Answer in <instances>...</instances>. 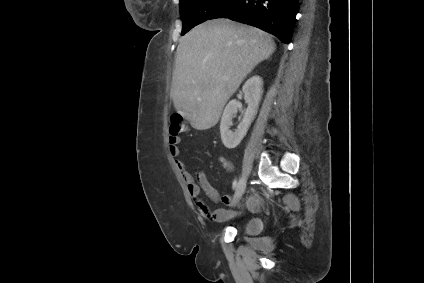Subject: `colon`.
Returning a JSON list of instances; mask_svg holds the SVG:
<instances>
[{
	"instance_id": "5ec220e1",
	"label": "colon",
	"mask_w": 424,
	"mask_h": 283,
	"mask_svg": "<svg viewBox=\"0 0 424 283\" xmlns=\"http://www.w3.org/2000/svg\"><path fill=\"white\" fill-rule=\"evenodd\" d=\"M187 128V124L184 116L179 112H174L170 116V134L178 135L184 132Z\"/></svg>"
}]
</instances>
